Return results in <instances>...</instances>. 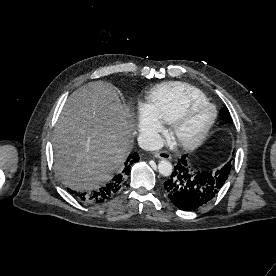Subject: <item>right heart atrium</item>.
Wrapping results in <instances>:
<instances>
[{"mask_svg": "<svg viewBox=\"0 0 276 276\" xmlns=\"http://www.w3.org/2000/svg\"><path fill=\"white\" fill-rule=\"evenodd\" d=\"M140 129L142 133L152 142L159 139V133L162 130V123L149 114L143 115L140 122Z\"/></svg>", "mask_w": 276, "mask_h": 276, "instance_id": "1", "label": "right heart atrium"}]
</instances>
